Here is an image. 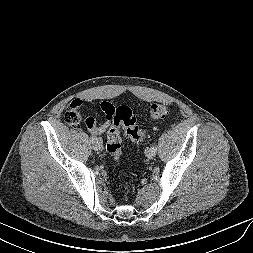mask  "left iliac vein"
Wrapping results in <instances>:
<instances>
[{
    "instance_id": "left-iliac-vein-1",
    "label": "left iliac vein",
    "mask_w": 253,
    "mask_h": 253,
    "mask_svg": "<svg viewBox=\"0 0 253 253\" xmlns=\"http://www.w3.org/2000/svg\"><path fill=\"white\" fill-rule=\"evenodd\" d=\"M145 154H146L147 158L153 159L156 155V151L153 150L152 148H150V149L146 150Z\"/></svg>"
}]
</instances>
